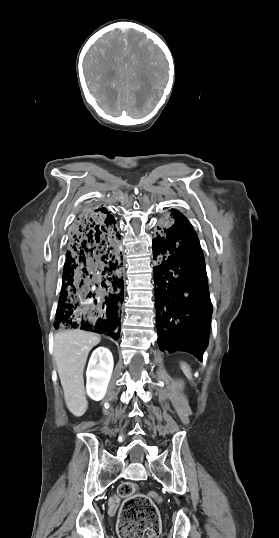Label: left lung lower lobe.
Instances as JSON below:
<instances>
[{"mask_svg": "<svg viewBox=\"0 0 279 538\" xmlns=\"http://www.w3.org/2000/svg\"><path fill=\"white\" fill-rule=\"evenodd\" d=\"M173 219L152 243L158 345L202 361L212 314L204 256L189 221Z\"/></svg>", "mask_w": 279, "mask_h": 538, "instance_id": "obj_1", "label": "left lung lower lobe"}]
</instances>
